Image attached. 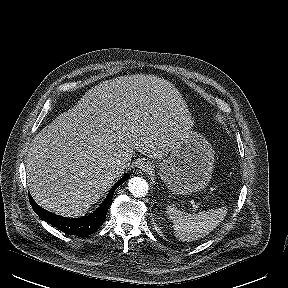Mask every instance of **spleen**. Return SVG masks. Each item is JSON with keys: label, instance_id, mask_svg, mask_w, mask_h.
Wrapping results in <instances>:
<instances>
[{"label": "spleen", "instance_id": "1", "mask_svg": "<svg viewBox=\"0 0 288 288\" xmlns=\"http://www.w3.org/2000/svg\"><path fill=\"white\" fill-rule=\"evenodd\" d=\"M166 213L173 222L175 237L181 241H194L212 232L227 214V208L188 214L174 206H168Z\"/></svg>", "mask_w": 288, "mask_h": 288}]
</instances>
